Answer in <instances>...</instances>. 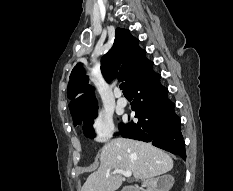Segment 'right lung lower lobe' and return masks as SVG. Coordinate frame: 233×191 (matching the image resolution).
Returning a JSON list of instances; mask_svg holds the SVG:
<instances>
[{"label": "right lung lower lobe", "mask_w": 233, "mask_h": 191, "mask_svg": "<svg viewBox=\"0 0 233 191\" xmlns=\"http://www.w3.org/2000/svg\"><path fill=\"white\" fill-rule=\"evenodd\" d=\"M146 60L128 85L134 96L131 109L137 123L119 124V134L125 138L151 142L154 146L186 159L180 118L174 113V103L167 98V88L160 84L161 76Z\"/></svg>", "instance_id": "right-lung-lower-lobe-1"}]
</instances>
